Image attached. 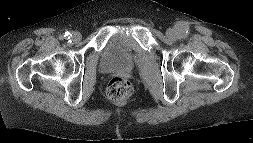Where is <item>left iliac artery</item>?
Masks as SVG:
<instances>
[{"mask_svg": "<svg viewBox=\"0 0 253 143\" xmlns=\"http://www.w3.org/2000/svg\"><path fill=\"white\" fill-rule=\"evenodd\" d=\"M188 34V28H182L180 32V38H185Z\"/></svg>", "mask_w": 253, "mask_h": 143, "instance_id": "left-iliac-artery-1", "label": "left iliac artery"}]
</instances>
